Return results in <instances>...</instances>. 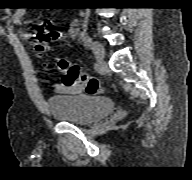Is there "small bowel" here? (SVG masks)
I'll return each mask as SVG.
<instances>
[{
	"label": "small bowel",
	"mask_w": 192,
	"mask_h": 180,
	"mask_svg": "<svg viewBox=\"0 0 192 180\" xmlns=\"http://www.w3.org/2000/svg\"><path fill=\"white\" fill-rule=\"evenodd\" d=\"M13 21L17 25H21L24 23V11L17 10L13 15ZM79 32V21L74 20L69 29V35L71 38H75ZM33 37L31 33L22 32L21 38L24 40H30ZM58 93L61 94H77L81 92V88L79 86H72L66 84H59L55 89Z\"/></svg>",
	"instance_id": "c3829d8e"
}]
</instances>
